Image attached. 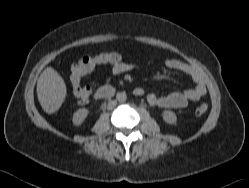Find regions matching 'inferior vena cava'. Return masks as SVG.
<instances>
[{"instance_id": "1", "label": "inferior vena cava", "mask_w": 249, "mask_h": 188, "mask_svg": "<svg viewBox=\"0 0 249 188\" xmlns=\"http://www.w3.org/2000/svg\"><path fill=\"white\" fill-rule=\"evenodd\" d=\"M116 104H117V101H116V100H110V101L108 102V109H109V110L113 109V108L116 106Z\"/></svg>"}]
</instances>
